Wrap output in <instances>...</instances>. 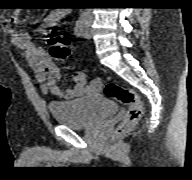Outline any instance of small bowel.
Returning a JSON list of instances; mask_svg holds the SVG:
<instances>
[{
  "label": "small bowel",
  "mask_w": 192,
  "mask_h": 180,
  "mask_svg": "<svg viewBox=\"0 0 192 180\" xmlns=\"http://www.w3.org/2000/svg\"><path fill=\"white\" fill-rule=\"evenodd\" d=\"M68 15L69 9L56 8L44 18V22L48 27H54L66 19ZM11 21L13 24L20 23V13L18 11L13 12ZM12 38L15 44L25 51L45 93L58 99H71L86 93L96 92L101 88L102 83L99 79L88 84L85 73L79 71L74 75V86L67 90L61 89L57 84L60 77L59 70L47 52L32 42L27 33L13 31Z\"/></svg>",
  "instance_id": "obj_1"
}]
</instances>
